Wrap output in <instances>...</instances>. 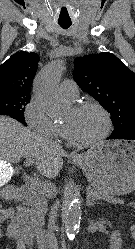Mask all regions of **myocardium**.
<instances>
[{
  "mask_svg": "<svg viewBox=\"0 0 135 249\" xmlns=\"http://www.w3.org/2000/svg\"><path fill=\"white\" fill-rule=\"evenodd\" d=\"M87 108L97 109L104 117L105 129L100 136H98L97 138L90 140V141H78L75 138H73V136L70 134L68 128L65 125L63 126L64 132H65V137L68 140V142L74 146L82 147V148L92 147V146L99 144L100 142H102L103 140H105L108 137V135L110 134L111 128H112V121H111L110 113L101 104L94 102V101H84V102H80V103L76 104L73 107V109L75 111H82V110L87 109Z\"/></svg>",
  "mask_w": 135,
  "mask_h": 249,
  "instance_id": "obj_1",
  "label": "myocardium"
}]
</instances>
